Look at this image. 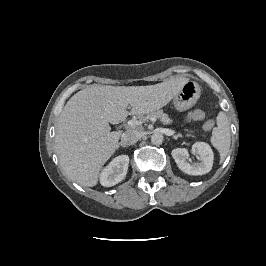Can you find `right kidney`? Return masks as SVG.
Segmentation results:
<instances>
[{
    "label": "right kidney",
    "mask_w": 266,
    "mask_h": 266,
    "mask_svg": "<svg viewBox=\"0 0 266 266\" xmlns=\"http://www.w3.org/2000/svg\"><path fill=\"white\" fill-rule=\"evenodd\" d=\"M128 164L127 155L114 158L101 172L100 183L105 187H111L121 182L127 174Z\"/></svg>",
    "instance_id": "right-kidney-1"
}]
</instances>
